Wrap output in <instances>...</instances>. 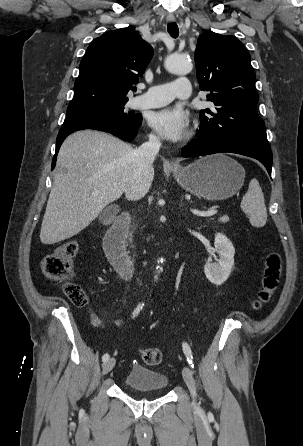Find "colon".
<instances>
[{
	"label": "colon",
	"instance_id": "1",
	"mask_svg": "<svg viewBox=\"0 0 303 446\" xmlns=\"http://www.w3.org/2000/svg\"><path fill=\"white\" fill-rule=\"evenodd\" d=\"M79 251L76 240H68L57 246L41 260L43 275L50 281L63 283L62 290L75 306H83L87 296L83 288L71 281L73 276V259ZM282 270V258L277 251L267 254L261 280V287L251 303L254 310H259L271 299L279 285ZM141 358L146 365L156 366L162 361V352L158 348H147L141 351Z\"/></svg>",
	"mask_w": 303,
	"mask_h": 446
}]
</instances>
